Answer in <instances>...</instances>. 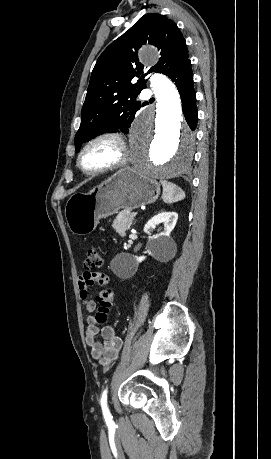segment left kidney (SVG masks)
<instances>
[{"label": "left kidney", "mask_w": 271, "mask_h": 459, "mask_svg": "<svg viewBox=\"0 0 271 459\" xmlns=\"http://www.w3.org/2000/svg\"><path fill=\"white\" fill-rule=\"evenodd\" d=\"M177 220L178 214H176V212H160V214L148 220L147 224L144 226V231L151 237L148 245V253H150V255H154V257L160 259L161 255L170 251L172 245H174L170 233L172 229L175 228ZM161 224H163V228H158L159 233L151 235V231H154V229H156L157 226H161ZM145 257L146 255L133 257L135 267L140 261H143Z\"/></svg>", "instance_id": "left-kidney-1"}]
</instances>
